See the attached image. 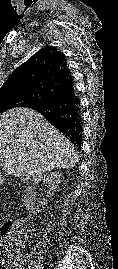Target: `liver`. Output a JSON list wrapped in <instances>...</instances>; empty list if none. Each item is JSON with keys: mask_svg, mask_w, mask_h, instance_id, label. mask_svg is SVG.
I'll list each match as a JSON object with an SVG mask.
<instances>
[{"mask_svg": "<svg viewBox=\"0 0 118 269\" xmlns=\"http://www.w3.org/2000/svg\"><path fill=\"white\" fill-rule=\"evenodd\" d=\"M73 144L38 112L14 108L0 115V167L7 174L32 180L78 162Z\"/></svg>", "mask_w": 118, "mask_h": 269, "instance_id": "6515ba94", "label": "liver"}]
</instances>
